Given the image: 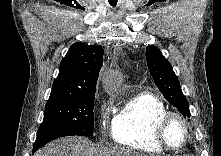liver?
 <instances>
[{"mask_svg": "<svg viewBox=\"0 0 221 156\" xmlns=\"http://www.w3.org/2000/svg\"><path fill=\"white\" fill-rule=\"evenodd\" d=\"M35 156H144L138 152L124 147L95 146L84 137H65L57 139Z\"/></svg>", "mask_w": 221, "mask_h": 156, "instance_id": "liver-1", "label": "liver"}]
</instances>
